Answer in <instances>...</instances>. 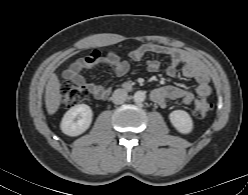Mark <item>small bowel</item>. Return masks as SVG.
Masks as SVG:
<instances>
[{"label":"small bowel","mask_w":248,"mask_h":195,"mask_svg":"<svg viewBox=\"0 0 248 195\" xmlns=\"http://www.w3.org/2000/svg\"><path fill=\"white\" fill-rule=\"evenodd\" d=\"M150 53L164 54L169 58V64L166 67L168 76L174 77L177 68L181 66L183 76L197 82L194 90L176 85H164L155 88L151 96L153 101L160 106H165L168 100H176L189 105L194 101L196 95L204 97L211 93L208 69L188 52L158 44H144L133 49L130 52V58L135 62H140ZM145 65L147 71L151 73L157 72L160 68L156 60H148ZM99 67H106L117 75H123L129 71L130 64L127 60H121L115 52H109L106 56H101L99 52H93L74 62L64 71V77L77 85L86 87L96 99H104L109 94V87L94 82H86L82 75L84 71Z\"/></svg>","instance_id":"obj_1"}]
</instances>
